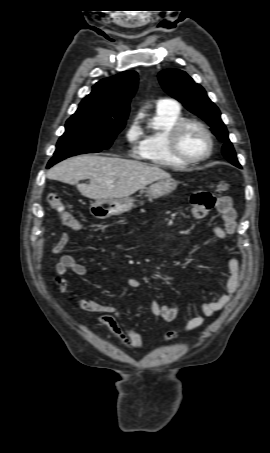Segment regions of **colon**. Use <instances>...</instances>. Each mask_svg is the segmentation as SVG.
<instances>
[{
    "instance_id": "5ec220e1",
    "label": "colon",
    "mask_w": 270,
    "mask_h": 453,
    "mask_svg": "<svg viewBox=\"0 0 270 453\" xmlns=\"http://www.w3.org/2000/svg\"><path fill=\"white\" fill-rule=\"evenodd\" d=\"M230 188L229 183L220 181L215 184V193L220 195L227 192ZM194 200L205 208L210 209L214 205V198L211 194L199 192L195 194ZM50 207L58 214L62 224L73 231H81L83 229L82 222L71 212L66 209L61 197L56 194H49L47 197Z\"/></svg>"
}]
</instances>
